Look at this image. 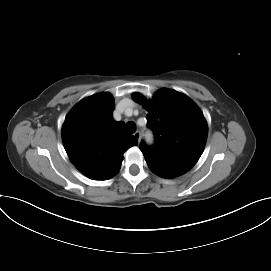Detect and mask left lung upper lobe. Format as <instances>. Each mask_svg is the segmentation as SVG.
<instances>
[{
  "mask_svg": "<svg viewBox=\"0 0 271 271\" xmlns=\"http://www.w3.org/2000/svg\"><path fill=\"white\" fill-rule=\"evenodd\" d=\"M132 96L148 111V126L155 135L154 146L144 142L139 146L146 161L183 173L190 170L207 138V123L199 107L188 96L165 88L150 101L139 93Z\"/></svg>",
  "mask_w": 271,
  "mask_h": 271,
  "instance_id": "1",
  "label": "left lung upper lobe"
}]
</instances>
